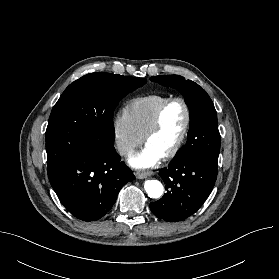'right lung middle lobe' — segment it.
Instances as JSON below:
<instances>
[{
    "label": "right lung middle lobe",
    "instance_id": "right-lung-middle-lobe-1",
    "mask_svg": "<svg viewBox=\"0 0 279 279\" xmlns=\"http://www.w3.org/2000/svg\"><path fill=\"white\" fill-rule=\"evenodd\" d=\"M145 83L144 78L90 73L70 84L54 105L45 133L49 179L81 151L113 146L117 103Z\"/></svg>",
    "mask_w": 279,
    "mask_h": 279
}]
</instances>
